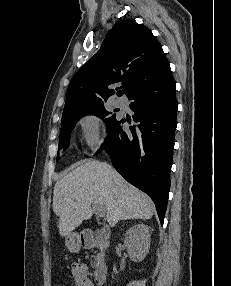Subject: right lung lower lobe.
<instances>
[{"instance_id":"98d812e1","label":"right lung lower lobe","mask_w":231,"mask_h":286,"mask_svg":"<svg viewBox=\"0 0 231 286\" xmlns=\"http://www.w3.org/2000/svg\"><path fill=\"white\" fill-rule=\"evenodd\" d=\"M175 92L171 72L134 83L125 95L132 101L133 120L139 124L124 131L120 127L121 121H115L105 139V149L113 166L129 183L150 196L161 224L170 189L177 126Z\"/></svg>"}]
</instances>
